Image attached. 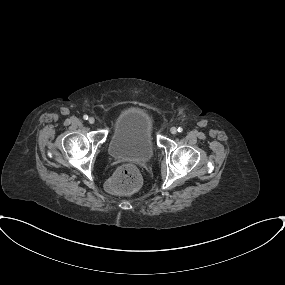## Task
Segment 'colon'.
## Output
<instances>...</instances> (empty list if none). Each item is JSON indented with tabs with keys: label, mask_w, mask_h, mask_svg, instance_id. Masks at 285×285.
Listing matches in <instances>:
<instances>
[{
	"label": "colon",
	"mask_w": 285,
	"mask_h": 285,
	"mask_svg": "<svg viewBox=\"0 0 285 285\" xmlns=\"http://www.w3.org/2000/svg\"><path fill=\"white\" fill-rule=\"evenodd\" d=\"M141 185V175L134 166H126L116 170L107 182V189L112 193L130 194L136 192Z\"/></svg>",
	"instance_id": "obj_1"
}]
</instances>
